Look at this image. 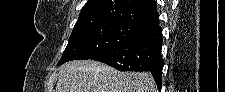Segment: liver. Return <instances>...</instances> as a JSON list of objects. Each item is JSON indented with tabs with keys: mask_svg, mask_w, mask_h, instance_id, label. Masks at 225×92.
I'll use <instances>...</instances> for the list:
<instances>
[{
	"mask_svg": "<svg viewBox=\"0 0 225 92\" xmlns=\"http://www.w3.org/2000/svg\"><path fill=\"white\" fill-rule=\"evenodd\" d=\"M56 92H157L149 72H120L93 60H75L58 69Z\"/></svg>",
	"mask_w": 225,
	"mask_h": 92,
	"instance_id": "1",
	"label": "liver"
}]
</instances>
